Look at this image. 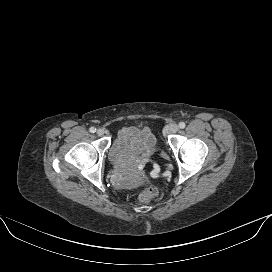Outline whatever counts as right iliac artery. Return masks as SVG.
Masks as SVG:
<instances>
[{
	"label": "right iliac artery",
	"instance_id": "1",
	"mask_svg": "<svg viewBox=\"0 0 272 272\" xmlns=\"http://www.w3.org/2000/svg\"><path fill=\"white\" fill-rule=\"evenodd\" d=\"M89 131H90L91 133H94V132L96 131V128L91 127V128L89 129Z\"/></svg>",
	"mask_w": 272,
	"mask_h": 272
}]
</instances>
